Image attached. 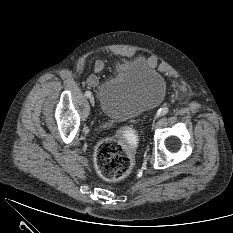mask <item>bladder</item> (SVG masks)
Here are the masks:
<instances>
[{
	"label": "bladder",
	"instance_id": "1",
	"mask_svg": "<svg viewBox=\"0 0 233 233\" xmlns=\"http://www.w3.org/2000/svg\"><path fill=\"white\" fill-rule=\"evenodd\" d=\"M164 77L142 58L121 63L116 74L98 86L102 113L116 121H126L159 105L166 95Z\"/></svg>",
	"mask_w": 233,
	"mask_h": 233
}]
</instances>
